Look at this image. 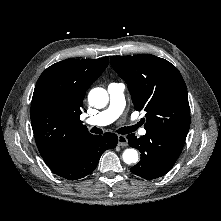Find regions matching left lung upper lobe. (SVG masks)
I'll return each instance as SVG.
<instances>
[{"instance_id":"obj_1","label":"left lung upper lobe","mask_w":221,"mask_h":221,"mask_svg":"<svg viewBox=\"0 0 221 221\" xmlns=\"http://www.w3.org/2000/svg\"><path fill=\"white\" fill-rule=\"evenodd\" d=\"M111 66L128 84L135 109L146 111V131L187 136L190 109L185 82L170 62L151 54L112 56Z\"/></svg>"}]
</instances>
